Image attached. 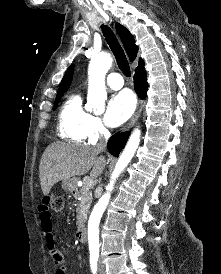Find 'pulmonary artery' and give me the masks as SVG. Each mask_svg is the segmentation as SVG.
I'll list each match as a JSON object with an SVG mask.
<instances>
[{"label":"pulmonary artery","instance_id":"pulmonary-artery-1","mask_svg":"<svg viewBox=\"0 0 221 274\" xmlns=\"http://www.w3.org/2000/svg\"><path fill=\"white\" fill-rule=\"evenodd\" d=\"M107 85L113 90H119L122 88L124 82L120 74L110 73L107 77Z\"/></svg>","mask_w":221,"mask_h":274}]
</instances>
